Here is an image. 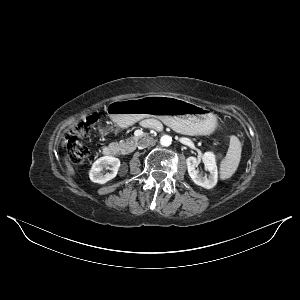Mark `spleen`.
Here are the masks:
<instances>
[{"instance_id":"obj_1","label":"spleen","mask_w":300,"mask_h":300,"mask_svg":"<svg viewBox=\"0 0 300 300\" xmlns=\"http://www.w3.org/2000/svg\"><path fill=\"white\" fill-rule=\"evenodd\" d=\"M241 152V142L236 136H231L227 154L220 164L221 180L229 179L236 172L241 159Z\"/></svg>"}]
</instances>
